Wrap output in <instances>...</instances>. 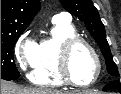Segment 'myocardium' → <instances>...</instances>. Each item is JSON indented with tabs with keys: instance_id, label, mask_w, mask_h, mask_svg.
Returning a JSON list of instances; mask_svg holds the SVG:
<instances>
[{
	"instance_id": "f54148a6",
	"label": "myocardium",
	"mask_w": 121,
	"mask_h": 94,
	"mask_svg": "<svg viewBox=\"0 0 121 94\" xmlns=\"http://www.w3.org/2000/svg\"><path fill=\"white\" fill-rule=\"evenodd\" d=\"M77 44H83L88 48V50L92 53L96 64H97V72L93 80H91L88 83H78L76 82L71 74L70 71V56L73 48ZM58 73L60 78L68 85L74 86V87H89L96 83L101 76L102 73V61L101 58L97 52V50L94 48V46L86 39H84L81 36L75 35L72 37H69L62 41V43L59 46L58 50Z\"/></svg>"
}]
</instances>
